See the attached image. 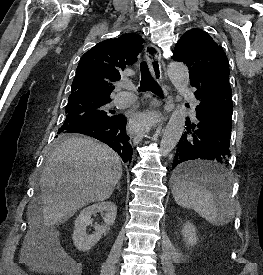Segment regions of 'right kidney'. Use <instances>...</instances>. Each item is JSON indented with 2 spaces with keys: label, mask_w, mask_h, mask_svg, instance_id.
<instances>
[{
  "label": "right kidney",
  "mask_w": 263,
  "mask_h": 275,
  "mask_svg": "<svg viewBox=\"0 0 263 275\" xmlns=\"http://www.w3.org/2000/svg\"><path fill=\"white\" fill-rule=\"evenodd\" d=\"M99 212L104 214L103 219L105 224L102 226H94L95 232L88 235L86 229L87 226L92 225L91 216ZM116 214L117 207L113 202H99L82 210L75 220V227L72 235L75 247L80 251L90 250L101 239L108 227L114 224Z\"/></svg>",
  "instance_id": "obj_1"
}]
</instances>
